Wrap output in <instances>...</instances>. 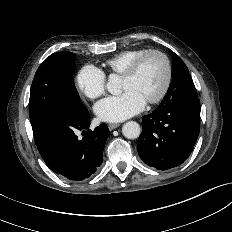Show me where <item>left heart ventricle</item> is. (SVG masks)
Returning a JSON list of instances; mask_svg holds the SVG:
<instances>
[{"label":"left heart ventricle","instance_id":"obj_1","mask_svg":"<svg viewBox=\"0 0 232 232\" xmlns=\"http://www.w3.org/2000/svg\"><path fill=\"white\" fill-rule=\"evenodd\" d=\"M165 80V65L161 57H148L136 75L132 78H122L123 91L136 92L145 101L155 97L163 87Z\"/></svg>","mask_w":232,"mask_h":232}]
</instances>
